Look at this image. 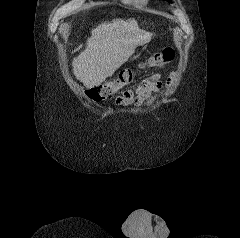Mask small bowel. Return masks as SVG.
<instances>
[{
    "label": "small bowel",
    "instance_id": "1",
    "mask_svg": "<svg viewBox=\"0 0 240 238\" xmlns=\"http://www.w3.org/2000/svg\"><path fill=\"white\" fill-rule=\"evenodd\" d=\"M173 74L167 80L169 84ZM163 87L160 74H154L141 81L136 89L127 90L121 96L116 98V103L120 106H128L131 104L141 105L146 101L152 93L159 91Z\"/></svg>",
    "mask_w": 240,
    "mask_h": 238
}]
</instances>
